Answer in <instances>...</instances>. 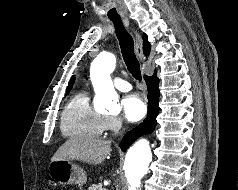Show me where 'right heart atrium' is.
<instances>
[{"label":"right heart atrium","instance_id":"right-heart-atrium-1","mask_svg":"<svg viewBox=\"0 0 238 190\" xmlns=\"http://www.w3.org/2000/svg\"><path fill=\"white\" fill-rule=\"evenodd\" d=\"M122 126L121 120L116 116L106 117V130L117 131Z\"/></svg>","mask_w":238,"mask_h":190}]
</instances>
